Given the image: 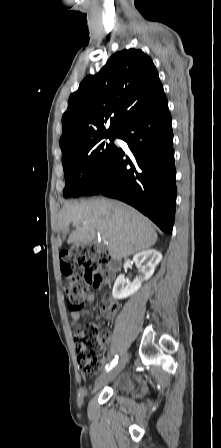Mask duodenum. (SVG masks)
<instances>
[{
    "label": "duodenum",
    "mask_w": 221,
    "mask_h": 448,
    "mask_svg": "<svg viewBox=\"0 0 221 448\" xmlns=\"http://www.w3.org/2000/svg\"><path fill=\"white\" fill-rule=\"evenodd\" d=\"M121 268V261L119 259L113 258L110 263V271L112 274L117 273Z\"/></svg>",
    "instance_id": "duodenum-1"
}]
</instances>
